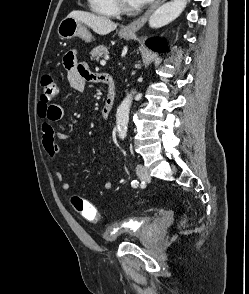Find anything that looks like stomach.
<instances>
[{
	"label": "stomach",
	"instance_id": "0dacf381",
	"mask_svg": "<svg viewBox=\"0 0 249 294\" xmlns=\"http://www.w3.org/2000/svg\"><path fill=\"white\" fill-rule=\"evenodd\" d=\"M57 33L62 40H70L74 37H79L85 42L91 41V34L80 21L65 17L58 25ZM121 38L126 40L131 39L132 33L120 30L118 32Z\"/></svg>",
	"mask_w": 249,
	"mask_h": 294
}]
</instances>
